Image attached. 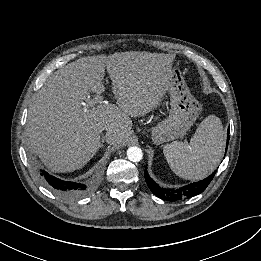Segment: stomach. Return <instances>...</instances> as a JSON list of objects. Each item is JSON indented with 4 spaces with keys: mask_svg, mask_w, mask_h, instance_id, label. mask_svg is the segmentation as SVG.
<instances>
[{
    "mask_svg": "<svg viewBox=\"0 0 261 261\" xmlns=\"http://www.w3.org/2000/svg\"><path fill=\"white\" fill-rule=\"evenodd\" d=\"M168 92L170 114L165 120L151 128V139L156 145L183 137L202 110L201 104L190 93L184 74L178 67L172 68Z\"/></svg>",
    "mask_w": 261,
    "mask_h": 261,
    "instance_id": "stomach-1",
    "label": "stomach"
}]
</instances>
